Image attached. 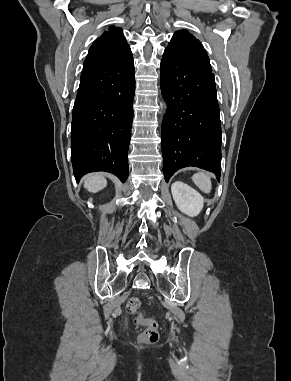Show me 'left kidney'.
<instances>
[{
    "instance_id": "obj_1",
    "label": "left kidney",
    "mask_w": 291,
    "mask_h": 381,
    "mask_svg": "<svg viewBox=\"0 0 291 381\" xmlns=\"http://www.w3.org/2000/svg\"><path fill=\"white\" fill-rule=\"evenodd\" d=\"M171 192L181 212L191 217L201 212L204 199L195 189L181 181H176L171 186Z\"/></svg>"
}]
</instances>
